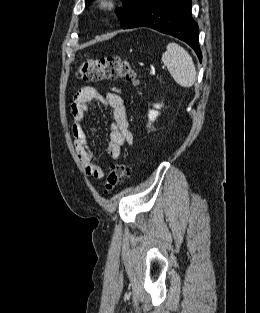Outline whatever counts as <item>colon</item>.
Segmentation results:
<instances>
[{
  "instance_id": "colon-1",
  "label": "colon",
  "mask_w": 260,
  "mask_h": 313,
  "mask_svg": "<svg viewBox=\"0 0 260 313\" xmlns=\"http://www.w3.org/2000/svg\"><path fill=\"white\" fill-rule=\"evenodd\" d=\"M76 76L79 80L96 82L102 80H124L138 84V76L133 65L126 59L118 56H110L100 59L84 61L77 69ZM129 167L123 163L112 166L106 179L104 192L108 194L122 181L129 177Z\"/></svg>"
}]
</instances>
